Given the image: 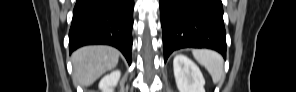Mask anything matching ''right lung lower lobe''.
I'll use <instances>...</instances> for the list:
<instances>
[{"label": "right lung lower lobe", "instance_id": "1", "mask_svg": "<svg viewBox=\"0 0 296 92\" xmlns=\"http://www.w3.org/2000/svg\"><path fill=\"white\" fill-rule=\"evenodd\" d=\"M134 0H77L69 31V49L88 44L118 48L131 63Z\"/></svg>", "mask_w": 296, "mask_h": 92}]
</instances>
